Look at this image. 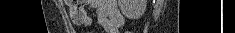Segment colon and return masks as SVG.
Here are the masks:
<instances>
[{
  "label": "colon",
  "mask_w": 235,
  "mask_h": 33,
  "mask_svg": "<svg viewBox=\"0 0 235 33\" xmlns=\"http://www.w3.org/2000/svg\"><path fill=\"white\" fill-rule=\"evenodd\" d=\"M89 0H65L66 5L70 7V17L73 23L81 25L84 23L87 14L84 9Z\"/></svg>",
  "instance_id": "1"
}]
</instances>
